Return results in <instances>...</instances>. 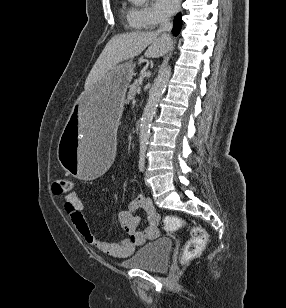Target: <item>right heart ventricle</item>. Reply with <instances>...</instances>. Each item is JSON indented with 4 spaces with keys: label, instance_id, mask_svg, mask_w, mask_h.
Segmentation results:
<instances>
[{
    "label": "right heart ventricle",
    "instance_id": "right-heart-ventricle-1",
    "mask_svg": "<svg viewBox=\"0 0 286 308\" xmlns=\"http://www.w3.org/2000/svg\"><path fill=\"white\" fill-rule=\"evenodd\" d=\"M121 13L127 27H129L132 30L142 29L136 21L135 10L133 8L123 4L121 7Z\"/></svg>",
    "mask_w": 286,
    "mask_h": 308
}]
</instances>
